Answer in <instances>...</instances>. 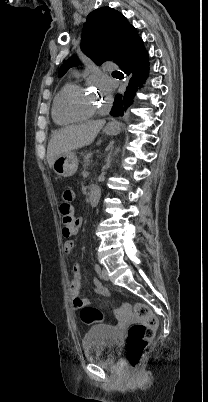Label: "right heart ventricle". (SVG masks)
I'll return each mask as SVG.
<instances>
[{
    "label": "right heart ventricle",
    "mask_w": 208,
    "mask_h": 402,
    "mask_svg": "<svg viewBox=\"0 0 208 402\" xmlns=\"http://www.w3.org/2000/svg\"><path fill=\"white\" fill-rule=\"evenodd\" d=\"M75 86L72 82H66L55 94L51 105V116L53 122L60 127H68L80 124L88 118H77L69 115L63 107V99L66 93Z\"/></svg>",
    "instance_id": "1"
}]
</instances>
